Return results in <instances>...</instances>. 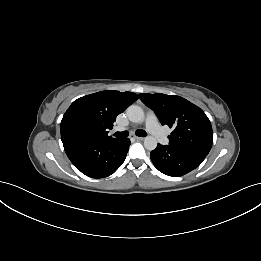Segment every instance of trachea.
<instances>
[{
  "instance_id": "3493384b",
  "label": "trachea",
  "mask_w": 261,
  "mask_h": 261,
  "mask_svg": "<svg viewBox=\"0 0 261 261\" xmlns=\"http://www.w3.org/2000/svg\"><path fill=\"white\" fill-rule=\"evenodd\" d=\"M129 135L128 131H123V132H116L114 136L116 138H126ZM136 135L139 137H145L147 135L146 131L144 130H137Z\"/></svg>"
}]
</instances>
